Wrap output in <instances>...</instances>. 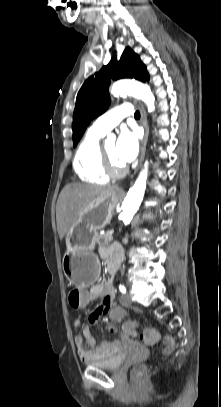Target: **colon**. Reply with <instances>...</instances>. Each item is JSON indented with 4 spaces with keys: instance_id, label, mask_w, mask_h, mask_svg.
I'll list each match as a JSON object with an SVG mask.
<instances>
[{
    "instance_id": "colon-1",
    "label": "colon",
    "mask_w": 221,
    "mask_h": 407,
    "mask_svg": "<svg viewBox=\"0 0 221 407\" xmlns=\"http://www.w3.org/2000/svg\"><path fill=\"white\" fill-rule=\"evenodd\" d=\"M89 294V287L86 286L84 283H81L79 286H70L69 288V306H71L72 311H86L87 305L89 300L87 295ZM123 305H114L112 309L107 311V316L111 318L113 322H119V327L122 330H130L131 332L133 329H140L141 328V321L135 320L132 318V315L129 314L127 311H124ZM141 338L147 344H155L161 340V335L159 331L152 327L147 328L141 335ZM165 344V348L163 350V354L169 355L171 354L176 348V342L172 337H165L163 339ZM143 367H137L133 370L134 378L138 379L143 373Z\"/></svg>"
}]
</instances>
